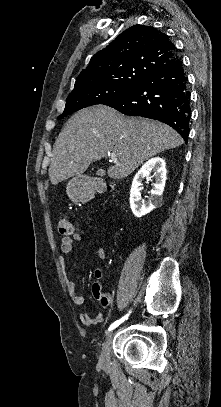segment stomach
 Returning <instances> with one entry per match:
<instances>
[{"label": "stomach", "instance_id": "0dacf381", "mask_svg": "<svg viewBox=\"0 0 221 407\" xmlns=\"http://www.w3.org/2000/svg\"><path fill=\"white\" fill-rule=\"evenodd\" d=\"M67 195L76 203L90 200L92 191L82 176L73 177L67 184Z\"/></svg>", "mask_w": 221, "mask_h": 407}]
</instances>
